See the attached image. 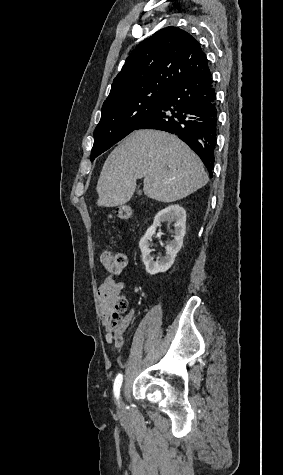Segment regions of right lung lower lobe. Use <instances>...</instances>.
I'll return each mask as SVG.
<instances>
[{
    "mask_svg": "<svg viewBox=\"0 0 283 475\" xmlns=\"http://www.w3.org/2000/svg\"><path fill=\"white\" fill-rule=\"evenodd\" d=\"M218 105L211 72L174 86L137 127L175 134L199 155L210 171L214 167Z\"/></svg>",
    "mask_w": 283,
    "mask_h": 475,
    "instance_id": "right-lung-lower-lobe-1",
    "label": "right lung lower lobe"
}]
</instances>
